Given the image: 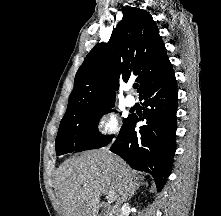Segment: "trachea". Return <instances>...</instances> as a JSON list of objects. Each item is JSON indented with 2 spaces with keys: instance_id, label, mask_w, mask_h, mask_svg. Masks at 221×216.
Here are the masks:
<instances>
[{
  "instance_id": "3493384b",
  "label": "trachea",
  "mask_w": 221,
  "mask_h": 216,
  "mask_svg": "<svg viewBox=\"0 0 221 216\" xmlns=\"http://www.w3.org/2000/svg\"><path fill=\"white\" fill-rule=\"evenodd\" d=\"M138 86H139L138 84H134V85H133V88H134V89H137Z\"/></svg>"
}]
</instances>
